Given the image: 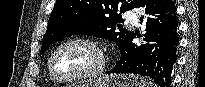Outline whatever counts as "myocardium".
<instances>
[{"label":"myocardium","mask_w":205,"mask_h":87,"mask_svg":"<svg viewBox=\"0 0 205 87\" xmlns=\"http://www.w3.org/2000/svg\"><path fill=\"white\" fill-rule=\"evenodd\" d=\"M71 44H84L91 47L97 53L98 56L97 64L93 69L85 73H81L74 76H60L55 72L54 69L55 57L62 48ZM105 64H106L105 52L102 46L97 41L87 37H74L63 41L62 43H60L58 46L55 47V49L52 51L49 57L48 69L51 78L54 79L55 81L62 82V83H70V82L87 81L98 77L104 71Z\"/></svg>","instance_id":"myocardium-1"}]
</instances>
